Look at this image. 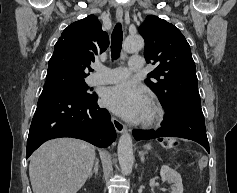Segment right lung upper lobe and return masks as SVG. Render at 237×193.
<instances>
[{"label": "right lung upper lobe", "mask_w": 237, "mask_h": 193, "mask_svg": "<svg viewBox=\"0 0 237 193\" xmlns=\"http://www.w3.org/2000/svg\"><path fill=\"white\" fill-rule=\"evenodd\" d=\"M109 45L108 34L102 31L97 17L89 15L70 24L61 34L48 62V71H60L85 78L90 63Z\"/></svg>", "instance_id": "obj_1"}]
</instances>
